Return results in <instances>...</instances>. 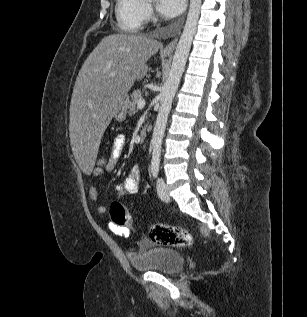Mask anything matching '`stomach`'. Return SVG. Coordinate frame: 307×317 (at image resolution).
Returning a JSON list of instances; mask_svg holds the SVG:
<instances>
[{"instance_id": "1", "label": "stomach", "mask_w": 307, "mask_h": 317, "mask_svg": "<svg viewBox=\"0 0 307 317\" xmlns=\"http://www.w3.org/2000/svg\"><path fill=\"white\" fill-rule=\"evenodd\" d=\"M129 103V99L128 97H126L123 102L119 105L118 109L116 110L115 114H114V118L118 121V122H122L125 120L126 115H127V104Z\"/></svg>"}]
</instances>
